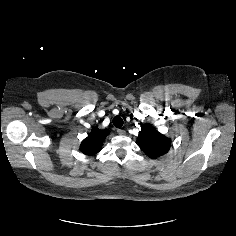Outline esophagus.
<instances>
[{
    "label": "esophagus",
    "instance_id": "34e87169",
    "mask_svg": "<svg viewBox=\"0 0 236 236\" xmlns=\"http://www.w3.org/2000/svg\"><path fill=\"white\" fill-rule=\"evenodd\" d=\"M117 133H118L119 135H125V134H126V131L123 130V129H118V130H117Z\"/></svg>",
    "mask_w": 236,
    "mask_h": 236
}]
</instances>
